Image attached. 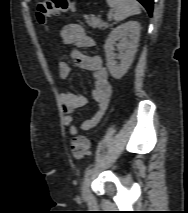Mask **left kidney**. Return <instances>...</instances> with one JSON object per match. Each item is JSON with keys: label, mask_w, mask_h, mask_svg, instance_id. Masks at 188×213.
I'll list each match as a JSON object with an SVG mask.
<instances>
[{"label": "left kidney", "mask_w": 188, "mask_h": 213, "mask_svg": "<svg viewBox=\"0 0 188 213\" xmlns=\"http://www.w3.org/2000/svg\"><path fill=\"white\" fill-rule=\"evenodd\" d=\"M140 38V24L137 21H128L114 28L105 41L106 65L115 79L123 77L133 63ZM116 41H119L116 44ZM120 51L118 57L114 54V46ZM120 59L117 64L116 59Z\"/></svg>", "instance_id": "1"}]
</instances>
